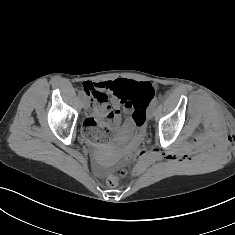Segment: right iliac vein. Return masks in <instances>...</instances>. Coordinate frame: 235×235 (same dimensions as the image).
Returning <instances> with one entry per match:
<instances>
[{
	"mask_svg": "<svg viewBox=\"0 0 235 235\" xmlns=\"http://www.w3.org/2000/svg\"><path fill=\"white\" fill-rule=\"evenodd\" d=\"M84 106H85V107H87V106H88V104H87V103H85V104H84Z\"/></svg>",
	"mask_w": 235,
	"mask_h": 235,
	"instance_id": "obj_1",
	"label": "right iliac vein"
}]
</instances>
